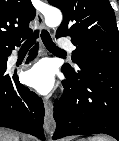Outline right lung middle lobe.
I'll list each match as a JSON object with an SVG mask.
<instances>
[{
  "label": "right lung middle lobe",
  "instance_id": "right-lung-middle-lobe-1",
  "mask_svg": "<svg viewBox=\"0 0 119 141\" xmlns=\"http://www.w3.org/2000/svg\"><path fill=\"white\" fill-rule=\"evenodd\" d=\"M7 59L0 58V68H7Z\"/></svg>",
  "mask_w": 119,
  "mask_h": 141
}]
</instances>
